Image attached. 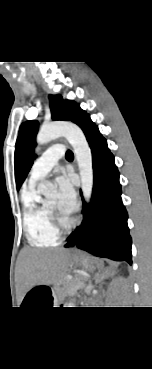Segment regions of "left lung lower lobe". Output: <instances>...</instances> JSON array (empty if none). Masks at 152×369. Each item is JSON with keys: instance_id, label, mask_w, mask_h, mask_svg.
Instances as JSON below:
<instances>
[{"instance_id": "left-lung-lower-lobe-1", "label": "left lung lower lobe", "mask_w": 152, "mask_h": 369, "mask_svg": "<svg viewBox=\"0 0 152 369\" xmlns=\"http://www.w3.org/2000/svg\"><path fill=\"white\" fill-rule=\"evenodd\" d=\"M80 127L92 151L94 184L91 202L83 204V222L71 233L65 247L76 246L99 257L132 264L128 215L114 156L90 116Z\"/></svg>"}]
</instances>
